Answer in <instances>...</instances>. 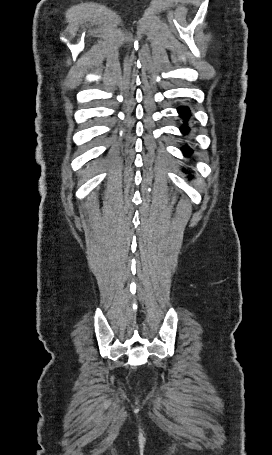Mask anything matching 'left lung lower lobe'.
<instances>
[{"mask_svg": "<svg viewBox=\"0 0 272 455\" xmlns=\"http://www.w3.org/2000/svg\"><path fill=\"white\" fill-rule=\"evenodd\" d=\"M178 111H179V114L183 117V118H188L189 114H190V111L187 107H179L178 108ZM182 133L183 134H186L189 129L186 125H184V127L181 129ZM182 151L185 153L186 156L190 155L192 153L191 149L189 147H183L182 148Z\"/></svg>", "mask_w": 272, "mask_h": 455, "instance_id": "obj_1", "label": "left lung lower lobe"}]
</instances>
